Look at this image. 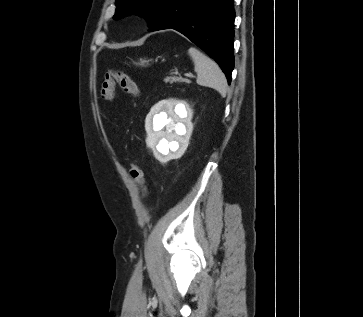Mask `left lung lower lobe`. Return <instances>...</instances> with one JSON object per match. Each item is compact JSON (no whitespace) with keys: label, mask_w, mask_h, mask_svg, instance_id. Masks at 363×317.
Here are the masks:
<instances>
[{"label":"left lung lower lobe","mask_w":363,"mask_h":317,"mask_svg":"<svg viewBox=\"0 0 363 317\" xmlns=\"http://www.w3.org/2000/svg\"><path fill=\"white\" fill-rule=\"evenodd\" d=\"M234 19L233 0H165L148 31L182 33L217 61L230 83Z\"/></svg>","instance_id":"obj_1"}]
</instances>
